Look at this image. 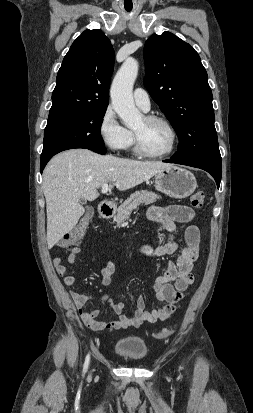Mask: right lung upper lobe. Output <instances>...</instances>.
<instances>
[{"mask_svg":"<svg viewBox=\"0 0 253 413\" xmlns=\"http://www.w3.org/2000/svg\"><path fill=\"white\" fill-rule=\"evenodd\" d=\"M113 68L110 40L99 29L84 31L63 59L49 115L107 108Z\"/></svg>","mask_w":253,"mask_h":413,"instance_id":"cb5924a9","label":"right lung upper lobe"}]
</instances>
